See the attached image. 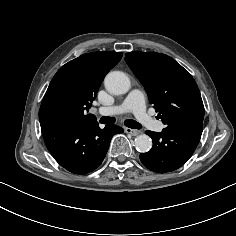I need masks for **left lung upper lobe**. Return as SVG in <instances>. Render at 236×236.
Here are the masks:
<instances>
[{
	"instance_id": "5c2ea615",
	"label": "left lung upper lobe",
	"mask_w": 236,
	"mask_h": 236,
	"mask_svg": "<svg viewBox=\"0 0 236 236\" xmlns=\"http://www.w3.org/2000/svg\"><path fill=\"white\" fill-rule=\"evenodd\" d=\"M125 61L166 127L203 125L204 106L198 86L174 59L156 52L133 51L126 53Z\"/></svg>"
}]
</instances>
